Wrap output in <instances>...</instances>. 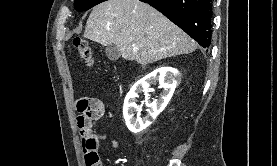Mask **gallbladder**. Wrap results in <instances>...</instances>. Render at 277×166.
I'll return each instance as SVG.
<instances>
[{
  "instance_id": "gallbladder-1",
  "label": "gallbladder",
  "mask_w": 277,
  "mask_h": 166,
  "mask_svg": "<svg viewBox=\"0 0 277 166\" xmlns=\"http://www.w3.org/2000/svg\"><path fill=\"white\" fill-rule=\"evenodd\" d=\"M105 53H106V56L108 57V59H110L112 61L118 60L120 57V52L114 44H110V45L106 46Z\"/></svg>"
}]
</instances>
